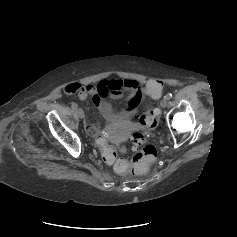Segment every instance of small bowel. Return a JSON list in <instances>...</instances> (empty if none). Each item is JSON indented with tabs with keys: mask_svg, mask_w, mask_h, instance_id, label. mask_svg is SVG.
Segmentation results:
<instances>
[{
	"mask_svg": "<svg viewBox=\"0 0 237 237\" xmlns=\"http://www.w3.org/2000/svg\"><path fill=\"white\" fill-rule=\"evenodd\" d=\"M64 91L67 94H76L81 99L90 96L105 118L107 126L114 123H124L129 121L136 113L138 106L145 98L146 89L136 80H102L97 84L70 83ZM127 91L128 96L125 107L122 110H115L107 101V98L118 99ZM85 129L91 135L102 132V129L90 119L85 122Z\"/></svg>",
	"mask_w": 237,
	"mask_h": 237,
	"instance_id": "obj_1",
	"label": "small bowel"
}]
</instances>
